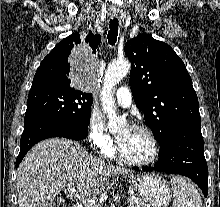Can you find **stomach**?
Masks as SVG:
<instances>
[{
  "label": "stomach",
  "instance_id": "stomach-1",
  "mask_svg": "<svg viewBox=\"0 0 220 207\" xmlns=\"http://www.w3.org/2000/svg\"><path fill=\"white\" fill-rule=\"evenodd\" d=\"M125 180L138 191L145 202L154 207H167L171 201V188L158 174L130 175L125 176Z\"/></svg>",
  "mask_w": 220,
  "mask_h": 207
}]
</instances>
